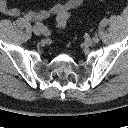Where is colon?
Returning <instances> with one entry per match:
<instances>
[{
	"label": "colon",
	"mask_w": 128,
	"mask_h": 128,
	"mask_svg": "<svg viewBox=\"0 0 128 128\" xmlns=\"http://www.w3.org/2000/svg\"><path fill=\"white\" fill-rule=\"evenodd\" d=\"M70 10H63L56 14V26L59 29H64L70 19Z\"/></svg>",
	"instance_id": "1"
}]
</instances>
